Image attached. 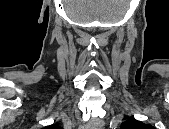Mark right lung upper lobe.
<instances>
[{"label": "right lung upper lobe", "instance_id": "cb5924a9", "mask_svg": "<svg viewBox=\"0 0 169 129\" xmlns=\"http://www.w3.org/2000/svg\"><path fill=\"white\" fill-rule=\"evenodd\" d=\"M47 128H49V129H57V128H59V126H57V125H50V126H47Z\"/></svg>", "mask_w": 169, "mask_h": 129}]
</instances>
